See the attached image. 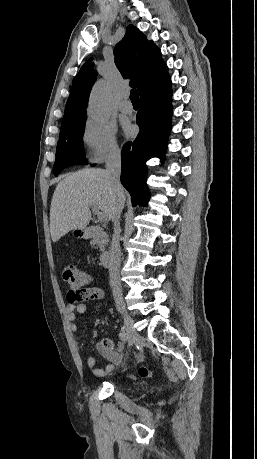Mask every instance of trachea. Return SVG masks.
Returning <instances> with one entry per match:
<instances>
[{"mask_svg": "<svg viewBox=\"0 0 257 459\" xmlns=\"http://www.w3.org/2000/svg\"><path fill=\"white\" fill-rule=\"evenodd\" d=\"M130 99L132 102H139V95L137 89H132L130 91Z\"/></svg>", "mask_w": 257, "mask_h": 459, "instance_id": "obj_1", "label": "trachea"}]
</instances>
